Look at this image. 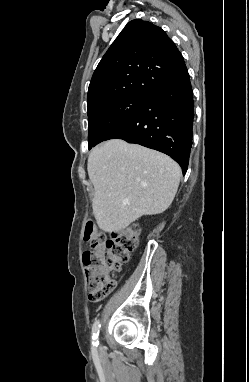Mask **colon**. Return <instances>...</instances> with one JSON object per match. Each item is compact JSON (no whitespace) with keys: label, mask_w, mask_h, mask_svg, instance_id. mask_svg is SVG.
Masks as SVG:
<instances>
[{"label":"colon","mask_w":249,"mask_h":382,"mask_svg":"<svg viewBox=\"0 0 249 382\" xmlns=\"http://www.w3.org/2000/svg\"><path fill=\"white\" fill-rule=\"evenodd\" d=\"M139 235V227L131 225L123 233L106 240L98 234L92 220L86 222L83 236L90 242V249L83 253L82 259L91 300L100 301L114 290L116 283L109 271L118 272L129 261L137 249Z\"/></svg>","instance_id":"1"}]
</instances>
